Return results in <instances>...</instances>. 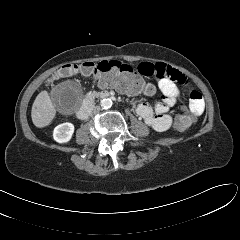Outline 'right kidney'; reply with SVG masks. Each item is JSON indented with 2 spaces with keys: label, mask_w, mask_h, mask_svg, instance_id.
I'll list each match as a JSON object with an SVG mask.
<instances>
[{
  "label": "right kidney",
  "mask_w": 240,
  "mask_h": 240,
  "mask_svg": "<svg viewBox=\"0 0 240 240\" xmlns=\"http://www.w3.org/2000/svg\"><path fill=\"white\" fill-rule=\"evenodd\" d=\"M74 133V125L72 123H62L53 130V138L58 143H66L70 141Z\"/></svg>",
  "instance_id": "ca27d5eb"
}]
</instances>
